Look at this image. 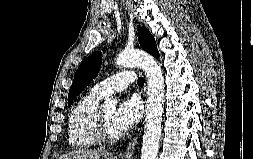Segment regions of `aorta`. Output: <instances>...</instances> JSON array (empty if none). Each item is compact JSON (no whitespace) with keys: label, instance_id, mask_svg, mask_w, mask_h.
I'll use <instances>...</instances> for the list:
<instances>
[{"label":"aorta","instance_id":"obj_1","mask_svg":"<svg viewBox=\"0 0 253 159\" xmlns=\"http://www.w3.org/2000/svg\"><path fill=\"white\" fill-rule=\"evenodd\" d=\"M116 64L122 67L140 66L147 77V106L145 130L142 138L141 159H157L164 102V77L156 60L149 54L138 50H124L116 59ZM114 99L103 104L104 108H113Z\"/></svg>","mask_w":253,"mask_h":159}]
</instances>
